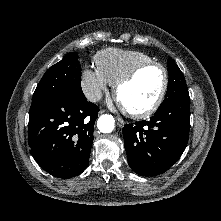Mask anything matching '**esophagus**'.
Returning <instances> with one entry per match:
<instances>
[{
    "label": "esophagus",
    "mask_w": 221,
    "mask_h": 221,
    "mask_svg": "<svg viewBox=\"0 0 221 221\" xmlns=\"http://www.w3.org/2000/svg\"><path fill=\"white\" fill-rule=\"evenodd\" d=\"M100 113H103V111L101 110ZM116 122H117L119 127H123L124 124H125L124 121L119 117L116 118Z\"/></svg>",
    "instance_id": "obj_1"
}]
</instances>
